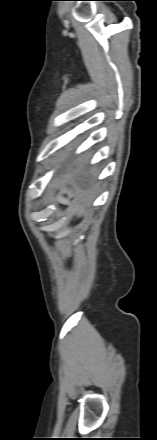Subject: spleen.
<instances>
[{
	"instance_id": "obj_1",
	"label": "spleen",
	"mask_w": 157,
	"mask_h": 440,
	"mask_svg": "<svg viewBox=\"0 0 157 440\" xmlns=\"http://www.w3.org/2000/svg\"><path fill=\"white\" fill-rule=\"evenodd\" d=\"M58 201H59L61 204H66V205L70 204V202H69L67 199H65V198H63V197H61V196L58 197Z\"/></svg>"
}]
</instances>
